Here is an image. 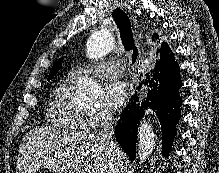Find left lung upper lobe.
I'll return each instance as SVG.
<instances>
[{
	"label": "left lung upper lobe",
	"mask_w": 219,
	"mask_h": 173,
	"mask_svg": "<svg viewBox=\"0 0 219 173\" xmlns=\"http://www.w3.org/2000/svg\"><path fill=\"white\" fill-rule=\"evenodd\" d=\"M61 66H62V58L59 59V60L53 65V67H52V69H51V72H50V74H49V76H48V81L54 77V75L58 72V70L61 68Z\"/></svg>",
	"instance_id": "obj_1"
}]
</instances>
